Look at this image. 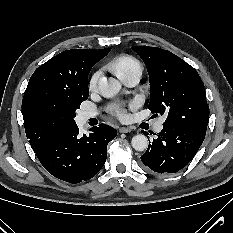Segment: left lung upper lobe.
Here are the masks:
<instances>
[{
    "instance_id": "obj_1",
    "label": "left lung upper lobe",
    "mask_w": 233,
    "mask_h": 233,
    "mask_svg": "<svg viewBox=\"0 0 233 233\" xmlns=\"http://www.w3.org/2000/svg\"><path fill=\"white\" fill-rule=\"evenodd\" d=\"M132 49L147 66L151 92L148 108L156 115L167 114L164 125L205 135L209 107L204 84L195 69L164 49L148 46Z\"/></svg>"
}]
</instances>
